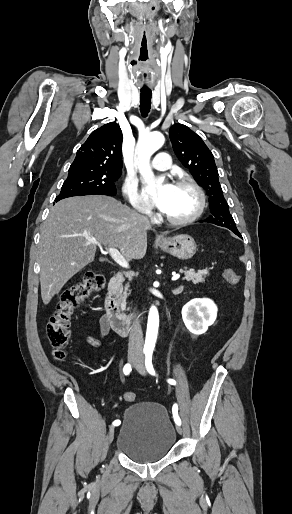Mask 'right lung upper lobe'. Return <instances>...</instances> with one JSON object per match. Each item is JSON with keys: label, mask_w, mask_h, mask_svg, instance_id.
<instances>
[{"label": "right lung upper lobe", "mask_w": 292, "mask_h": 514, "mask_svg": "<svg viewBox=\"0 0 292 514\" xmlns=\"http://www.w3.org/2000/svg\"><path fill=\"white\" fill-rule=\"evenodd\" d=\"M122 131L110 122L93 131L77 151L69 173L121 174Z\"/></svg>", "instance_id": "1"}]
</instances>
